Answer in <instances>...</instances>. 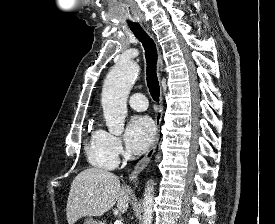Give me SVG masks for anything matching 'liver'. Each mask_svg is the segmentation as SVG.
I'll return each mask as SVG.
<instances>
[{"label":"liver","mask_w":275,"mask_h":224,"mask_svg":"<svg viewBox=\"0 0 275 224\" xmlns=\"http://www.w3.org/2000/svg\"><path fill=\"white\" fill-rule=\"evenodd\" d=\"M129 194V189L120 185L115 174L98 168L86 169L71 183L66 208L68 224L86 216H102L115 204L121 213H125L129 207Z\"/></svg>","instance_id":"liver-1"}]
</instances>
